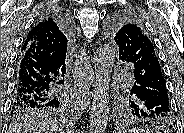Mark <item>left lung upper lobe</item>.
Wrapping results in <instances>:
<instances>
[{
	"label": "left lung upper lobe",
	"instance_id": "5c2ea615",
	"mask_svg": "<svg viewBox=\"0 0 184 133\" xmlns=\"http://www.w3.org/2000/svg\"><path fill=\"white\" fill-rule=\"evenodd\" d=\"M108 34L113 37L119 48V59L123 62L135 63L140 58L153 62L156 68L161 69L158 56L154 49L146 28L133 14L122 12L116 15L108 25ZM162 70V69H161ZM127 93L124 100L125 111L131 114V103L133 98L131 92ZM130 98V99H128Z\"/></svg>",
	"mask_w": 184,
	"mask_h": 133
}]
</instances>
